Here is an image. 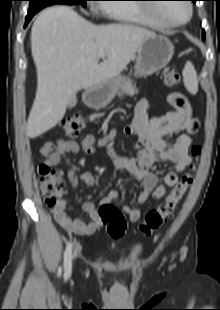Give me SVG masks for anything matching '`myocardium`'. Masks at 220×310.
Returning a JSON list of instances; mask_svg holds the SVG:
<instances>
[{"mask_svg":"<svg viewBox=\"0 0 220 310\" xmlns=\"http://www.w3.org/2000/svg\"><path fill=\"white\" fill-rule=\"evenodd\" d=\"M185 6L188 10V15L184 20L177 21V22L170 21L166 18L159 16L155 9H146V10L150 16H152L154 19H156L157 21L162 23L164 26H166V27H180V26L185 25L190 20V18L192 17V13H193V9H192L191 4H185Z\"/></svg>","mask_w":220,"mask_h":310,"instance_id":"obj_1","label":"myocardium"}]
</instances>
